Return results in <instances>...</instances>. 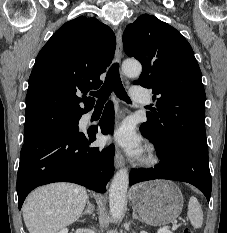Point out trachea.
<instances>
[{
	"mask_svg": "<svg viewBox=\"0 0 227 233\" xmlns=\"http://www.w3.org/2000/svg\"><path fill=\"white\" fill-rule=\"evenodd\" d=\"M112 91L119 99L127 103L131 102L121 82L118 63H114L110 67L102 87L98 91L91 93V95L98 99L96 102L97 106H103Z\"/></svg>",
	"mask_w": 227,
	"mask_h": 233,
	"instance_id": "obj_1",
	"label": "trachea"
}]
</instances>
